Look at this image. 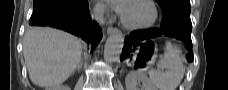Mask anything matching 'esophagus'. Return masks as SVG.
Instances as JSON below:
<instances>
[{
    "label": "esophagus",
    "mask_w": 228,
    "mask_h": 90,
    "mask_svg": "<svg viewBox=\"0 0 228 90\" xmlns=\"http://www.w3.org/2000/svg\"><path fill=\"white\" fill-rule=\"evenodd\" d=\"M107 34L108 35H116V34H120V31L116 28L108 27L107 28Z\"/></svg>",
    "instance_id": "1"
}]
</instances>
